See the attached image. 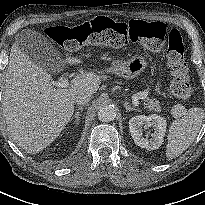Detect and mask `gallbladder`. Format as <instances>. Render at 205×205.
Returning a JSON list of instances; mask_svg holds the SVG:
<instances>
[{
    "label": "gallbladder",
    "mask_w": 205,
    "mask_h": 205,
    "mask_svg": "<svg viewBox=\"0 0 205 205\" xmlns=\"http://www.w3.org/2000/svg\"><path fill=\"white\" fill-rule=\"evenodd\" d=\"M16 41L28 58L42 69L52 72L61 68L60 53L40 33L25 29L17 35Z\"/></svg>",
    "instance_id": "1"
}]
</instances>
